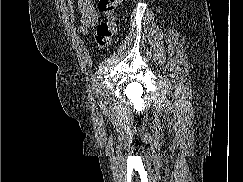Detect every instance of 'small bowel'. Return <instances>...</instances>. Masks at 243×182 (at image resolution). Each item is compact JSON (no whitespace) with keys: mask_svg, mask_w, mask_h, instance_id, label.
Wrapping results in <instances>:
<instances>
[{"mask_svg":"<svg viewBox=\"0 0 243 182\" xmlns=\"http://www.w3.org/2000/svg\"><path fill=\"white\" fill-rule=\"evenodd\" d=\"M78 9L81 18V26L79 30L82 34H87L97 23V11L92 0H78Z\"/></svg>","mask_w":243,"mask_h":182,"instance_id":"1","label":"small bowel"}]
</instances>
